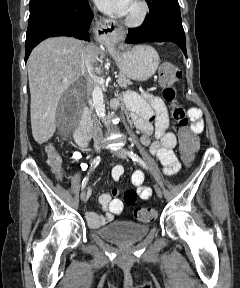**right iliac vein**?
<instances>
[{
    "label": "right iliac vein",
    "instance_id": "obj_1",
    "mask_svg": "<svg viewBox=\"0 0 240 288\" xmlns=\"http://www.w3.org/2000/svg\"><path fill=\"white\" fill-rule=\"evenodd\" d=\"M101 149H102L101 145H96L95 146V152L99 153ZM85 197H86V190L82 189L81 194H80L81 201H84Z\"/></svg>",
    "mask_w": 240,
    "mask_h": 288
}]
</instances>
